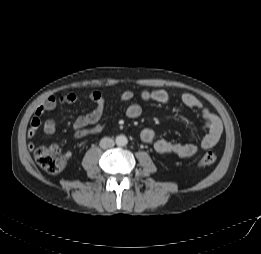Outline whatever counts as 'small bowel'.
<instances>
[{
    "instance_id": "obj_1",
    "label": "small bowel",
    "mask_w": 261,
    "mask_h": 254,
    "mask_svg": "<svg viewBox=\"0 0 261 254\" xmlns=\"http://www.w3.org/2000/svg\"><path fill=\"white\" fill-rule=\"evenodd\" d=\"M140 99L143 102H156L160 104H168L171 100L170 95L163 90H142ZM87 98L94 103V108L89 113L79 116L73 123V135L76 138L96 135L100 133L105 124L101 122L104 114L106 99L100 91H92L87 95ZM134 93L130 90L123 91L119 99L121 102L127 103L132 101ZM79 100V96L75 93H68L59 97L49 96L35 110L30 121L27 136L29 139V149L34 148L32 139L36 132L42 127L43 131L52 135L56 132V121L50 117L44 122L42 116L54 110L59 104H74ZM181 103L197 112L204 124L206 134L199 143L195 142L194 134L191 133L188 142L177 143L171 142L163 138H157V132L152 127L142 129L140 138L144 143L153 144L155 151L159 154L177 155L182 158H190L198 153L200 149L206 150L214 147L220 140L222 134V123L219 118L204 107L201 101L191 93L184 92L180 95ZM142 113V107L138 103H131L126 108V115L129 118H138ZM69 157V155H67Z\"/></svg>"
}]
</instances>
